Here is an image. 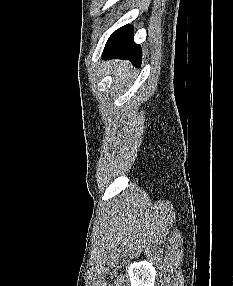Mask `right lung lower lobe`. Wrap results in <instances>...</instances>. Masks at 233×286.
<instances>
[{
	"instance_id": "98d812e1",
	"label": "right lung lower lobe",
	"mask_w": 233,
	"mask_h": 286,
	"mask_svg": "<svg viewBox=\"0 0 233 286\" xmlns=\"http://www.w3.org/2000/svg\"><path fill=\"white\" fill-rule=\"evenodd\" d=\"M102 57L103 59H128L135 66L140 67L141 48L133 41L132 26H123L110 36L105 45Z\"/></svg>"
}]
</instances>
